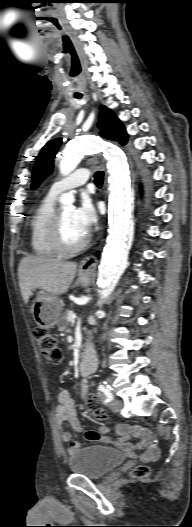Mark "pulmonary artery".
Here are the masks:
<instances>
[{
	"label": "pulmonary artery",
	"instance_id": "pulmonary-artery-1",
	"mask_svg": "<svg viewBox=\"0 0 192 527\" xmlns=\"http://www.w3.org/2000/svg\"><path fill=\"white\" fill-rule=\"evenodd\" d=\"M89 177L90 172L87 168H79L67 177L53 183L49 190V195L56 197L65 191L79 187L85 184Z\"/></svg>",
	"mask_w": 192,
	"mask_h": 527
}]
</instances>
